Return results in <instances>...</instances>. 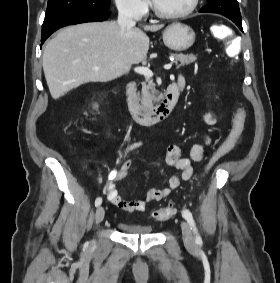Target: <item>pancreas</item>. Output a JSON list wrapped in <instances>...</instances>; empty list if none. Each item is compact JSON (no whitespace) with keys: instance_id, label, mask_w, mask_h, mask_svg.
Here are the masks:
<instances>
[{"instance_id":"1","label":"pancreas","mask_w":280,"mask_h":283,"mask_svg":"<svg viewBox=\"0 0 280 283\" xmlns=\"http://www.w3.org/2000/svg\"><path fill=\"white\" fill-rule=\"evenodd\" d=\"M170 56L175 58L177 69L181 66L189 65L197 59L194 54L171 53ZM158 95L159 92L155 89L153 81L146 79V81L142 83L141 101L143 105L146 107H152L153 104L159 100Z\"/></svg>"}]
</instances>
